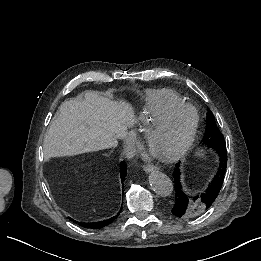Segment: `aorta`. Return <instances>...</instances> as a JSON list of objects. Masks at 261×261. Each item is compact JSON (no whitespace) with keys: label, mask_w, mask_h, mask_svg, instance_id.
Wrapping results in <instances>:
<instances>
[{"label":"aorta","mask_w":261,"mask_h":261,"mask_svg":"<svg viewBox=\"0 0 261 261\" xmlns=\"http://www.w3.org/2000/svg\"><path fill=\"white\" fill-rule=\"evenodd\" d=\"M149 183L153 191L160 196L166 197L173 193V183L164 173L153 171L149 176Z\"/></svg>","instance_id":"1"}]
</instances>
